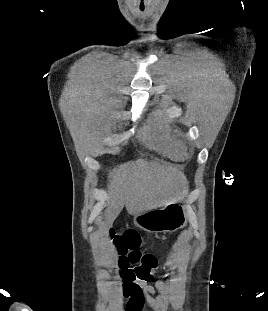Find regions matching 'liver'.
Masks as SVG:
<instances>
[{
    "instance_id": "6515ba94",
    "label": "liver",
    "mask_w": 268,
    "mask_h": 311,
    "mask_svg": "<svg viewBox=\"0 0 268 311\" xmlns=\"http://www.w3.org/2000/svg\"><path fill=\"white\" fill-rule=\"evenodd\" d=\"M186 178L176 169L146 161L124 164L111 181L106 197L104 229L112 226L124 206L129 214L166 206L178 200Z\"/></svg>"
}]
</instances>
